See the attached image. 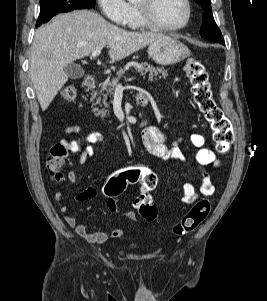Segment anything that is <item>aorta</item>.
I'll list each match as a JSON object with an SVG mask.
<instances>
[{"instance_id":"1","label":"aorta","mask_w":267,"mask_h":301,"mask_svg":"<svg viewBox=\"0 0 267 301\" xmlns=\"http://www.w3.org/2000/svg\"><path fill=\"white\" fill-rule=\"evenodd\" d=\"M130 2H134L135 0H129Z\"/></svg>"}]
</instances>
